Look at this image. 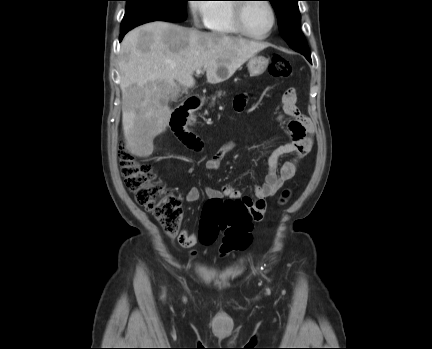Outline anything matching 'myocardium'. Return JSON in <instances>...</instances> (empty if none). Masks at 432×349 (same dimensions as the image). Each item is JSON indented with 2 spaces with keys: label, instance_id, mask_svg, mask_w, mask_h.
I'll use <instances>...</instances> for the list:
<instances>
[{
  "label": "myocardium",
  "instance_id": "myocardium-1",
  "mask_svg": "<svg viewBox=\"0 0 432 349\" xmlns=\"http://www.w3.org/2000/svg\"><path fill=\"white\" fill-rule=\"evenodd\" d=\"M240 1H244V2H239L237 4L233 5V11H232V19H233V23L234 26L236 28V30L246 36L249 37L251 39H255V40H264L267 39L274 31V29L276 28L277 25V13H276V9L274 7V5L272 4V2H270L269 0H260L261 2H263L264 4H266L271 12V16H272V24L269 28V30L262 34V35H256L251 33L246 25H245V21H244V12L246 7L251 3L249 2L250 0H240Z\"/></svg>",
  "mask_w": 432,
  "mask_h": 349
}]
</instances>
